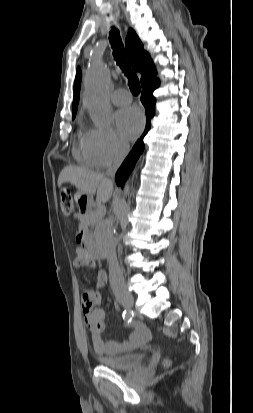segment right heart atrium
<instances>
[{"label":"right heart atrium","mask_w":253,"mask_h":413,"mask_svg":"<svg viewBox=\"0 0 253 413\" xmlns=\"http://www.w3.org/2000/svg\"><path fill=\"white\" fill-rule=\"evenodd\" d=\"M85 142L99 167L111 165L121 159L128 150V145L111 128L89 130Z\"/></svg>","instance_id":"d8ad5b80"}]
</instances>
